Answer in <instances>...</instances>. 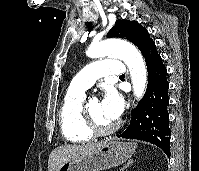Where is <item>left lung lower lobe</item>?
Segmentation results:
<instances>
[{
	"label": "left lung lower lobe",
	"mask_w": 199,
	"mask_h": 171,
	"mask_svg": "<svg viewBox=\"0 0 199 171\" xmlns=\"http://www.w3.org/2000/svg\"><path fill=\"white\" fill-rule=\"evenodd\" d=\"M141 52L148 70L147 90L137 108L132 110L129 126L118 137L150 142L160 147L169 157L171 132L167 111V71L153 40Z\"/></svg>",
	"instance_id": "1"
}]
</instances>
